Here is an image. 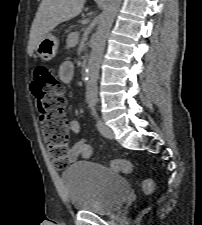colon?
<instances>
[{
    "label": "colon",
    "instance_id": "obj_1",
    "mask_svg": "<svg viewBox=\"0 0 202 225\" xmlns=\"http://www.w3.org/2000/svg\"><path fill=\"white\" fill-rule=\"evenodd\" d=\"M65 84L57 79L53 71L44 64L34 69L32 90L37 100L38 122L41 134L53 159L58 165L65 164L68 153L69 129L65 114ZM130 160H112L110 168L117 173H130L133 170ZM147 195L155 193V183L145 179L141 183Z\"/></svg>",
    "mask_w": 202,
    "mask_h": 225
}]
</instances>
